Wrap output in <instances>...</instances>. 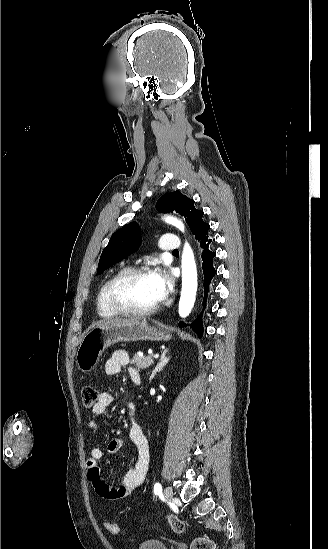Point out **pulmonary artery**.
<instances>
[{
	"mask_svg": "<svg viewBox=\"0 0 328 549\" xmlns=\"http://www.w3.org/2000/svg\"><path fill=\"white\" fill-rule=\"evenodd\" d=\"M154 248L160 252H175L178 248V240L176 237H165L163 241L157 242Z\"/></svg>",
	"mask_w": 328,
	"mask_h": 549,
	"instance_id": "pulmonary-artery-1",
	"label": "pulmonary artery"
}]
</instances>
